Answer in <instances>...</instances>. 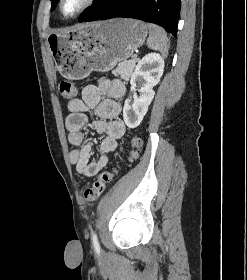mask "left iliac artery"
I'll use <instances>...</instances> for the list:
<instances>
[{
    "instance_id": "obj_1",
    "label": "left iliac artery",
    "mask_w": 247,
    "mask_h": 280,
    "mask_svg": "<svg viewBox=\"0 0 247 280\" xmlns=\"http://www.w3.org/2000/svg\"><path fill=\"white\" fill-rule=\"evenodd\" d=\"M92 243H93V246L96 249V251H99L100 245H99L98 238H97V235L95 232L92 233Z\"/></svg>"
}]
</instances>
